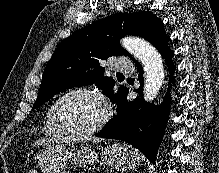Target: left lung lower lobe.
<instances>
[{
    "mask_svg": "<svg viewBox=\"0 0 219 173\" xmlns=\"http://www.w3.org/2000/svg\"><path fill=\"white\" fill-rule=\"evenodd\" d=\"M169 37L160 40L155 47L165 58L170 73L175 69L171 60L173 53L167 43ZM139 74L140 89L136 91L139 95L134 101H128L129 90L126 88L117 101V115L96 134L97 137L117 139L125 141L139 149L149 161L155 163L157 150L163 137L166 122L169 116L170 95L166 94L160 106L144 101L142 97L143 68L134 61ZM171 80H173L171 78Z\"/></svg>",
    "mask_w": 219,
    "mask_h": 173,
    "instance_id": "1",
    "label": "left lung lower lobe"
}]
</instances>
